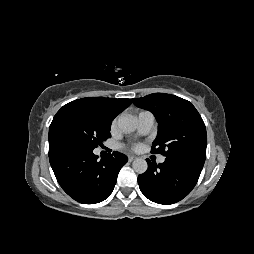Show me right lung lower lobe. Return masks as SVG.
Masks as SVG:
<instances>
[{"instance_id":"98d812e1","label":"right lung lower lobe","mask_w":254,"mask_h":254,"mask_svg":"<svg viewBox=\"0 0 254 254\" xmlns=\"http://www.w3.org/2000/svg\"><path fill=\"white\" fill-rule=\"evenodd\" d=\"M97 159L90 147L63 140L49 141V160L56 179L80 203L105 200L114 189L121 167L128 161L119 152Z\"/></svg>"}]
</instances>
